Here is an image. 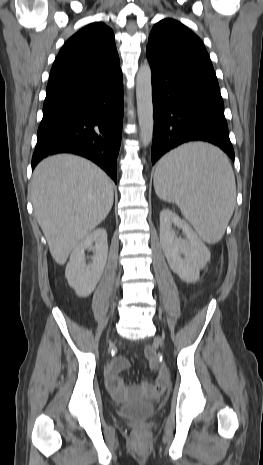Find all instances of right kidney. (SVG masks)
<instances>
[{"instance_id":"obj_1","label":"right kidney","mask_w":263,"mask_h":465,"mask_svg":"<svg viewBox=\"0 0 263 465\" xmlns=\"http://www.w3.org/2000/svg\"><path fill=\"white\" fill-rule=\"evenodd\" d=\"M87 249L94 253L91 257L92 262L88 265L85 257ZM107 254V232L103 228L88 234L74 248L66 266L65 277L78 296L87 297L94 291L104 271Z\"/></svg>"}]
</instances>
